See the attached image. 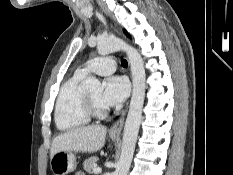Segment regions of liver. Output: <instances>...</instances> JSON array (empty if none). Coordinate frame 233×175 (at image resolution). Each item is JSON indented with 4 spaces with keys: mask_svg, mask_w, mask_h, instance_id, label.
<instances>
[{
    "mask_svg": "<svg viewBox=\"0 0 233 175\" xmlns=\"http://www.w3.org/2000/svg\"><path fill=\"white\" fill-rule=\"evenodd\" d=\"M106 133L107 128L101 125L73 128L54 138L50 157L60 151L96 152L103 147Z\"/></svg>",
    "mask_w": 233,
    "mask_h": 175,
    "instance_id": "liver-1",
    "label": "liver"
}]
</instances>
